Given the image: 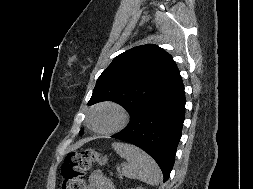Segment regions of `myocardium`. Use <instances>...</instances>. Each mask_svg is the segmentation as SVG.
Wrapping results in <instances>:
<instances>
[{
	"label": "myocardium",
	"instance_id": "f54148a6",
	"mask_svg": "<svg viewBox=\"0 0 253 189\" xmlns=\"http://www.w3.org/2000/svg\"><path fill=\"white\" fill-rule=\"evenodd\" d=\"M103 108L113 109L118 114L119 120H118L117 124L110 129L98 130L93 127L92 119H93V115L98 110L103 109ZM127 122H128V114H127L126 110L122 106H120L119 104L114 103V102H102V103L97 104L95 107H93L90 110V112L88 114V118H87L88 128L93 133L98 134V135H111L116 132H119L120 130H122L126 126Z\"/></svg>",
	"mask_w": 253,
	"mask_h": 189
}]
</instances>
